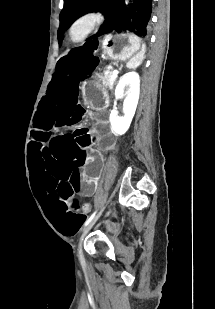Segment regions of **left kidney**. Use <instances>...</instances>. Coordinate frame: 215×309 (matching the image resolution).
<instances>
[{
	"label": "left kidney",
	"mask_w": 215,
	"mask_h": 309,
	"mask_svg": "<svg viewBox=\"0 0 215 309\" xmlns=\"http://www.w3.org/2000/svg\"><path fill=\"white\" fill-rule=\"evenodd\" d=\"M126 86H129L128 90H124ZM133 86L137 88L136 94L133 92ZM124 92L127 94L123 102V112L125 116H118L117 110H111L109 116L111 128L115 134H124V132L128 130L135 114L140 92V78L137 72H126V74L121 76L116 86L115 96H117V98H122Z\"/></svg>",
	"instance_id": "1"
}]
</instances>
